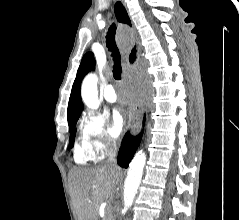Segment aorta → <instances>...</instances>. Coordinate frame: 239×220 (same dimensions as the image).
<instances>
[{"instance_id": "762f6f07", "label": "aorta", "mask_w": 239, "mask_h": 220, "mask_svg": "<svg viewBox=\"0 0 239 220\" xmlns=\"http://www.w3.org/2000/svg\"><path fill=\"white\" fill-rule=\"evenodd\" d=\"M81 95L84 103L92 108L99 107L97 77L93 74L88 75L81 88ZM146 164V154L141 150L133 158L129 165L127 176L124 182V210H128L134 201L135 195L141 183L143 170Z\"/></svg>"}]
</instances>
